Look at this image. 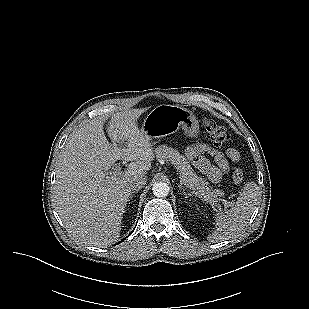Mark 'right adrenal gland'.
<instances>
[{
	"label": "right adrenal gland",
	"mask_w": 309,
	"mask_h": 309,
	"mask_svg": "<svg viewBox=\"0 0 309 309\" xmlns=\"http://www.w3.org/2000/svg\"><path fill=\"white\" fill-rule=\"evenodd\" d=\"M137 192H138V190H134V191L131 192V195H130V197H129V201H130V199H132L133 194H134V193H137Z\"/></svg>",
	"instance_id": "1"
}]
</instances>
